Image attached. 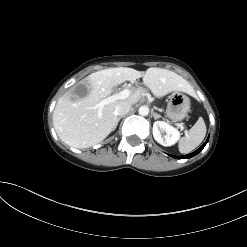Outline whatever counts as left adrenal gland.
Masks as SVG:
<instances>
[{"label":"left adrenal gland","mask_w":247,"mask_h":247,"mask_svg":"<svg viewBox=\"0 0 247 247\" xmlns=\"http://www.w3.org/2000/svg\"><path fill=\"white\" fill-rule=\"evenodd\" d=\"M154 119L161 118V116L155 112H152Z\"/></svg>","instance_id":"left-adrenal-gland-1"}]
</instances>
